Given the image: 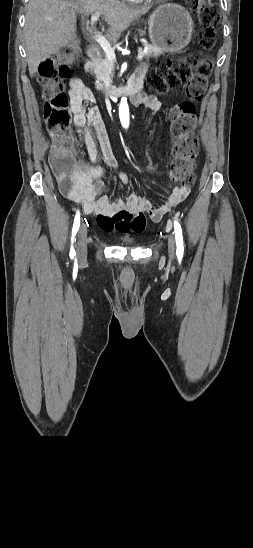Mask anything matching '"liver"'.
Segmentation results:
<instances>
[{"mask_svg": "<svg viewBox=\"0 0 253 548\" xmlns=\"http://www.w3.org/2000/svg\"><path fill=\"white\" fill-rule=\"evenodd\" d=\"M149 9L129 7L118 0H30L24 27L30 76L51 54L75 41L77 13L93 15L99 12L104 15L109 25L107 37L116 41L134 20Z\"/></svg>", "mask_w": 253, "mask_h": 548, "instance_id": "6515ba94", "label": "liver"}]
</instances>
